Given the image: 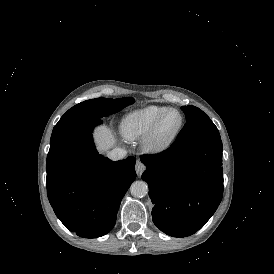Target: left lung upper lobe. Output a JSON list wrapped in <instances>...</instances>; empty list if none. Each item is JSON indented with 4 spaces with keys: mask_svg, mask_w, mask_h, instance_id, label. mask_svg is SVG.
Segmentation results:
<instances>
[{
    "mask_svg": "<svg viewBox=\"0 0 274 274\" xmlns=\"http://www.w3.org/2000/svg\"><path fill=\"white\" fill-rule=\"evenodd\" d=\"M186 115V124L177 136L176 141H184L202 137H219L215 124L202 110L195 106H182Z\"/></svg>",
    "mask_w": 274,
    "mask_h": 274,
    "instance_id": "1",
    "label": "left lung upper lobe"
}]
</instances>
